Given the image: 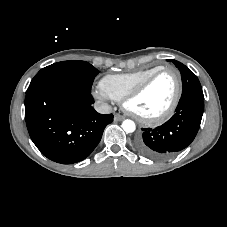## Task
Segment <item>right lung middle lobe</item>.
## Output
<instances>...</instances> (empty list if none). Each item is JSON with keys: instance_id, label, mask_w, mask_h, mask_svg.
Instances as JSON below:
<instances>
[{"instance_id": "right-lung-middle-lobe-1", "label": "right lung middle lobe", "mask_w": 227, "mask_h": 227, "mask_svg": "<svg viewBox=\"0 0 227 227\" xmlns=\"http://www.w3.org/2000/svg\"><path fill=\"white\" fill-rule=\"evenodd\" d=\"M99 71L85 61H62L41 69L32 79L29 87L46 81H63L90 91Z\"/></svg>"}]
</instances>
